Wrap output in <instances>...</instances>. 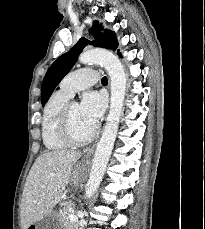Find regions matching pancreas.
I'll return each mask as SVG.
<instances>
[{"instance_id":"obj_1","label":"pancreas","mask_w":205,"mask_h":229,"mask_svg":"<svg viewBox=\"0 0 205 229\" xmlns=\"http://www.w3.org/2000/svg\"><path fill=\"white\" fill-rule=\"evenodd\" d=\"M73 204L67 202L61 209L58 214L59 221L63 225V229H78V224L76 221L69 219V215L72 214Z\"/></svg>"}]
</instances>
